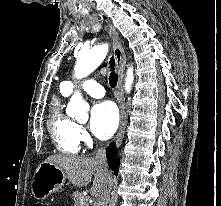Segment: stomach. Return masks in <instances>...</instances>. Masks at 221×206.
I'll list each match as a JSON object with an SVG mask.
<instances>
[{"label":"stomach","instance_id":"obj_1","mask_svg":"<svg viewBox=\"0 0 221 206\" xmlns=\"http://www.w3.org/2000/svg\"><path fill=\"white\" fill-rule=\"evenodd\" d=\"M65 182L64 171L56 165L44 161L34 173L31 191L36 199H44L51 193L59 191Z\"/></svg>","mask_w":221,"mask_h":206}]
</instances>
